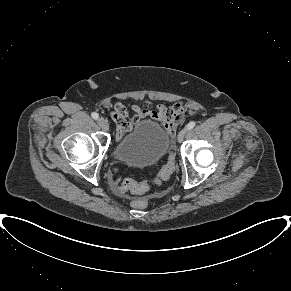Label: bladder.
I'll return each mask as SVG.
<instances>
[{"label":"bladder","mask_w":291,"mask_h":291,"mask_svg":"<svg viewBox=\"0 0 291 291\" xmlns=\"http://www.w3.org/2000/svg\"><path fill=\"white\" fill-rule=\"evenodd\" d=\"M169 148L168 133L158 123L143 120L119 140L113 156L125 165L146 167L160 161Z\"/></svg>","instance_id":"obj_1"}]
</instances>
